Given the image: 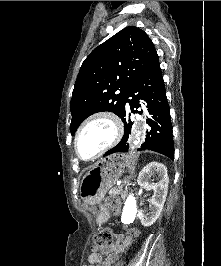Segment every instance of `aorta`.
I'll list each match as a JSON object with an SVG mask.
<instances>
[{"mask_svg":"<svg viewBox=\"0 0 221 266\" xmlns=\"http://www.w3.org/2000/svg\"><path fill=\"white\" fill-rule=\"evenodd\" d=\"M139 135V133L137 134V136ZM139 142V138H137L136 141H134V145H137ZM132 149H134V146L131 147ZM136 214V200L135 197L132 193H130L127 196L126 202H125V206H124V211L122 214V219L124 222L129 223L131 221H133L134 217Z\"/></svg>","mask_w":221,"mask_h":266,"instance_id":"762f6f07","label":"aorta"}]
</instances>
